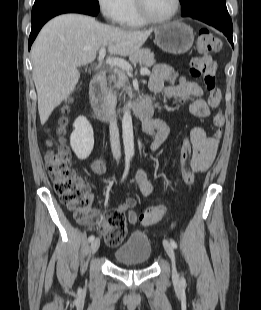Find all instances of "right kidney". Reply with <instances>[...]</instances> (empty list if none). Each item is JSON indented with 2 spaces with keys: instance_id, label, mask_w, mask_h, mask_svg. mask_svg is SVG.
<instances>
[{
  "instance_id": "obj_1",
  "label": "right kidney",
  "mask_w": 261,
  "mask_h": 310,
  "mask_svg": "<svg viewBox=\"0 0 261 310\" xmlns=\"http://www.w3.org/2000/svg\"><path fill=\"white\" fill-rule=\"evenodd\" d=\"M70 136V145L80 160L89 157L94 147V133L89 121L84 116H79L74 124Z\"/></svg>"
}]
</instances>
